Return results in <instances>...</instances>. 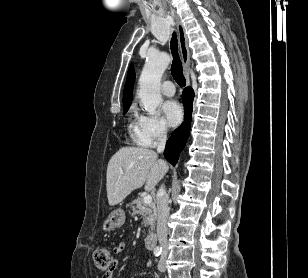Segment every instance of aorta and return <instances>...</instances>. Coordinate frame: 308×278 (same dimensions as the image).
Returning a JSON list of instances; mask_svg holds the SVG:
<instances>
[{"label": "aorta", "mask_w": 308, "mask_h": 278, "mask_svg": "<svg viewBox=\"0 0 308 278\" xmlns=\"http://www.w3.org/2000/svg\"><path fill=\"white\" fill-rule=\"evenodd\" d=\"M170 63L167 53L150 54L139 79V98L145 110L154 115L162 102L160 94L161 77Z\"/></svg>", "instance_id": "1"}]
</instances>
